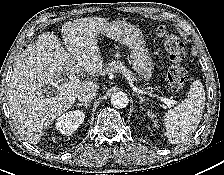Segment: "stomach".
<instances>
[{
  "label": "stomach",
  "mask_w": 224,
  "mask_h": 175,
  "mask_svg": "<svg viewBox=\"0 0 224 175\" xmlns=\"http://www.w3.org/2000/svg\"><path fill=\"white\" fill-rule=\"evenodd\" d=\"M101 33L128 46L132 69L145 81L150 80L153 61L145 48L142 34L137 27L125 21H113L106 24Z\"/></svg>",
  "instance_id": "stomach-1"
}]
</instances>
